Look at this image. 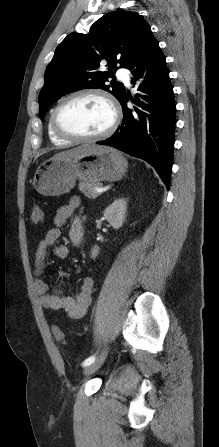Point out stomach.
I'll use <instances>...</instances> for the list:
<instances>
[{
    "mask_svg": "<svg viewBox=\"0 0 219 447\" xmlns=\"http://www.w3.org/2000/svg\"><path fill=\"white\" fill-rule=\"evenodd\" d=\"M127 169V161L117 150L94 146V149L77 158L53 159L43 162L36 170L33 185L44 196L68 193L76 179L85 182L116 181Z\"/></svg>",
    "mask_w": 219,
    "mask_h": 447,
    "instance_id": "0dacf381",
    "label": "stomach"
}]
</instances>
